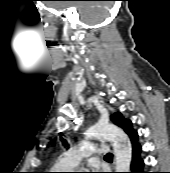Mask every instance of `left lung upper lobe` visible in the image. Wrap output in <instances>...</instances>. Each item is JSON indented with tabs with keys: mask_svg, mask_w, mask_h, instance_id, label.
<instances>
[{
	"mask_svg": "<svg viewBox=\"0 0 170 173\" xmlns=\"http://www.w3.org/2000/svg\"><path fill=\"white\" fill-rule=\"evenodd\" d=\"M111 120L113 121L114 124L121 127L128 134L132 142V145L137 143L138 134L132 128V122L130 120L123 118V116L119 112L111 116Z\"/></svg>",
	"mask_w": 170,
	"mask_h": 173,
	"instance_id": "obj_1",
	"label": "left lung upper lobe"
}]
</instances>
